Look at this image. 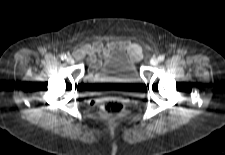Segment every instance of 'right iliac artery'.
Masks as SVG:
<instances>
[{"instance_id": "obj_1", "label": "right iliac artery", "mask_w": 225, "mask_h": 155, "mask_svg": "<svg viewBox=\"0 0 225 155\" xmlns=\"http://www.w3.org/2000/svg\"><path fill=\"white\" fill-rule=\"evenodd\" d=\"M60 58H61L62 60H65V59H66V55H65V54H61V55H60Z\"/></svg>"}]
</instances>
